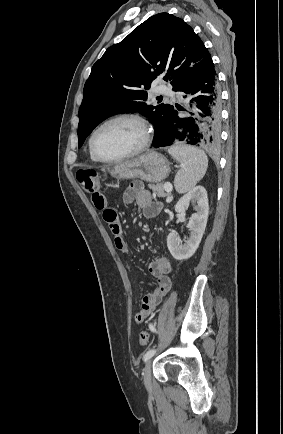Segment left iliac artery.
Listing matches in <instances>:
<instances>
[{"label": "left iliac artery", "instance_id": "left-iliac-artery-1", "mask_svg": "<svg viewBox=\"0 0 283 434\" xmlns=\"http://www.w3.org/2000/svg\"><path fill=\"white\" fill-rule=\"evenodd\" d=\"M150 328H151V330L155 331L153 326L150 325ZM155 352H156L155 349H151V350L147 351L143 357L144 362H146L148 359H150L155 354Z\"/></svg>", "mask_w": 283, "mask_h": 434}]
</instances>
